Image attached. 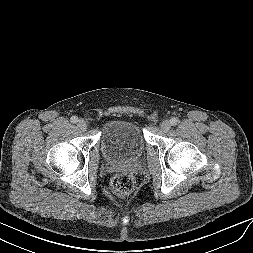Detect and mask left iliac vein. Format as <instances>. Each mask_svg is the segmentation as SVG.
I'll use <instances>...</instances> for the list:
<instances>
[{
  "mask_svg": "<svg viewBox=\"0 0 253 253\" xmlns=\"http://www.w3.org/2000/svg\"><path fill=\"white\" fill-rule=\"evenodd\" d=\"M171 128V123L168 120H164L161 123V130L164 132H168Z\"/></svg>",
  "mask_w": 253,
  "mask_h": 253,
  "instance_id": "obj_1",
  "label": "left iliac vein"
}]
</instances>
